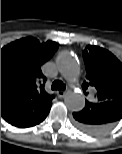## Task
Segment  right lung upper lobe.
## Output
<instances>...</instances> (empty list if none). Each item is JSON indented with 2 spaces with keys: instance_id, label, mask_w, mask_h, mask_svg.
Masks as SVG:
<instances>
[{
  "instance_id": "right-lung-upper-lobe-1",
  "label": "right lung upper lobe",
  "mask_w": 122,
  "mask_h": 154,
  "mask_svg": "<svg viewBox=\"0 0 122 154\" xmlns=\"http://www.w3.org/2000/svg\"><path fill=\"white\" fill-rule=\"evenodd\" d=\"M58 46L26 37L1 49V116L11 125L21 127L50 111L54 96L41 84V66Z\"/></svg>"
}]
</instances>
